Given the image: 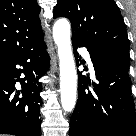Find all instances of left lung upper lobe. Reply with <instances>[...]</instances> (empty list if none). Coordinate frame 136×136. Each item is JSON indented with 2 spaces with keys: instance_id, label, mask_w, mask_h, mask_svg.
<instances>
[{
  "instance_id": "1",
  "label": "left lung upper lobe",
  "mask_w": 136,
  "mask_h": 136,
  "mask_svg": "<svg viewBox=\"0 0 136 136\" xmlns=\"http://www.w3.org/2000/svg\"><path fill=\"white\" fill-rule=\"evenodd\" d=\"M59 16L71 21L72 41L129 64L126 25L113 0H58L54 18Z\"/></svg>"
}]
</instances>
